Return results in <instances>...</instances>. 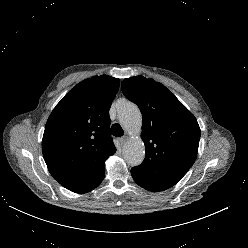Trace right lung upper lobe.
Masks as SVG:
<instances>
[{
	"label": "right lung upper lobe",
	"mask_w": 248,
	"mask_h": 248,
	"mask_svg": "<svg viewBox=\"0 0 248 248\" xmlns=\"http://www.w3.org/2000/svg\"><path fill=\"white\" fill-rule=\"evenodd\" d=\"M120 80L107 75L78 83L56 105L42 139L48 170L63 187L87 193L104 179L105 160L116 152L109 109Z\"/></svg>",
	"instance_id": "obj_1"
}]
</instances>
